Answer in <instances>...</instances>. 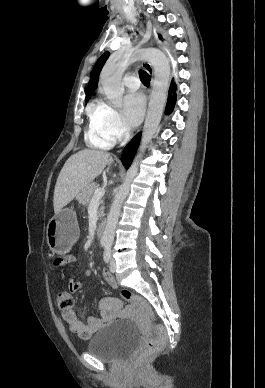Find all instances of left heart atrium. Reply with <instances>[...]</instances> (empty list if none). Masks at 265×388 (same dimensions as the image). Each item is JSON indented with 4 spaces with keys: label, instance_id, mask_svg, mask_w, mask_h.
Listing matches in <instances>:
<instances>
[{
    "label": "left heart atrium",
    "instance_id": "39dd6f15",
    "mask_svg": "<svg viewBox=\"0 0 265 388\" xmlns=\"http://www.w3.org/2000/svg\"><path fill=\"white\" fill-rule=\"evenodd\" d=\"M145 109L143 95L137 91L136 94H127L123 101V118L132 125H136L142 119Z\"/></svg>",
    "mask_w": 265,
    "mask_h": 388
}]
</instances>
